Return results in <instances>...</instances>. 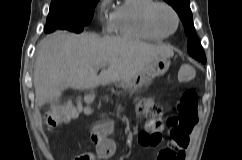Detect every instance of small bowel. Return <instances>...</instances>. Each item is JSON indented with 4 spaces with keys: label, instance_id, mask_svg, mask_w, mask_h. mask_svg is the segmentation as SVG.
<instances>
[{
    "label": "small bowel",
    "instance_id": "c3829d8e",
    "mask_svg": "<svg viewBox=\"0 0 242 160\" xmlns=\"http://www.w3.org/2000/svg\"><path fill=\"white\" fill-rule=\"evenodd\" d=\"M147 105L148 104H144L141 106V112H144V108ZM86 112L88 113L89 111L87 110ZM111 129L112 125L108 122L102 123L95 128L92 136V142L95 145L97 154H99L101 151L109 153L107 156L100 157H108L113 155L115 152V143L113 140L108 138V134L110 133ZM174 129L178 128H172V130ZM182 133L185 138L183 145H181L178 140L174 139L170 132V138L168 139L166 145L159 150L156 160H185L186 150L190 144V132L182 131Z\"/></svg>",
    "mask_w": 242,
    "mask_h": 160
}]
</instances>
